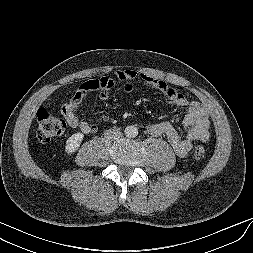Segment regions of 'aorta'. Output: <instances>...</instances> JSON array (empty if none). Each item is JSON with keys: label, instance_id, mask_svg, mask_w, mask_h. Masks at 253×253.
<instances>
[{"label": "aorta", "instance_id": "aorta-1", "mask_svg": "<svg viewBox=\"0 0 253 253\" xmlns=\"http://www.w3.org/2000/svg\"><path fill=\"white\" fill-rule=\"evenodd\" d=\"M125 135L130 138H134L138 135V129L135 126H127L125 128Z\"/></svg>", "mask_w": 253, "mask_h": 253}]
</instances>
